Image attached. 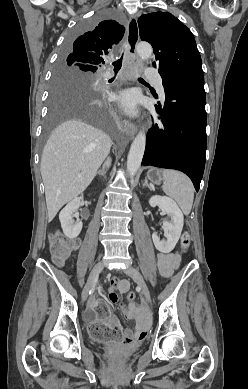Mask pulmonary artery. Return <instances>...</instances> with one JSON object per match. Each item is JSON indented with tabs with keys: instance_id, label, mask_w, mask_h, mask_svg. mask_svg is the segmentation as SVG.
I'll use <instances>...</instances> for the list:
<instances>
[{
	"instance_id": "1",
	"label": "pulmonary artery",
	"mask_w": 248,
	"mask_h": 389,
	"mask_svg": "<svg viewBox=\"0 0 248 389\" xmlns=\"http://www.w3.org/2000/svg\"><path fill=\"white\" fill-rule=\"evenodd\" d=\"M111 75L109 73L106 74V77H110ZM148 78L153 81L158 89V92L162 98H164V88H163V80L160 75L148 73Z\"/></svg>"
}]
</instances>
